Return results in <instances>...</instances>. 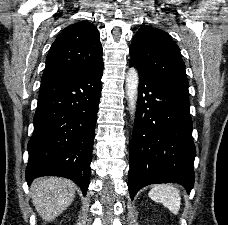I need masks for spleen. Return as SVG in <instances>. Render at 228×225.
I'll use <instances>...</instances> for the list:
<instances>
[{
  "instance_id": "3e777b00",
  "label": "spleen",
  "mask_w": 228,
  "mask_h": 225,
  "mask_svg": "<svg viewBox=\"0 0 228 225\" xmlns=\"http://www.w3.org/2000/svg\"><path fill=\"white\" fill-rule=\"evenodd\" d=\"M155 203H162L173 215H178L181 205L180 191L173 185H155L148 193Z\"/></svg>"
}]
</instances>
